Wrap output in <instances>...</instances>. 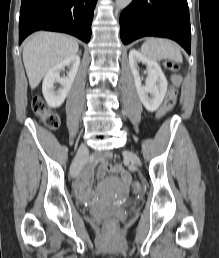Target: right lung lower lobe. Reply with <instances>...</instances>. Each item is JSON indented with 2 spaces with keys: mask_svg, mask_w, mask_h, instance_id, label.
I'll return each instance as SVG.
<instances>
[{
  "mask_svg": "<svg viewBox=\"0 0 219 258\" xmlns=\"http://www.w3.org/2000/svg\"><path fill=\"white\" fill-rule=\"evenodd\" d=\"M97 0H22L19 44L37 30L71 34L88 43Z\"/></svg>",
  "mask_w": 219,
  "mask_h": 258,
  "instance_id": "1",
  "label": "right lung lower lobe"
}]
</instances>
